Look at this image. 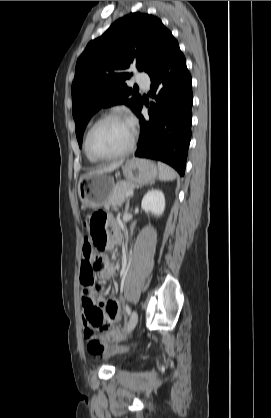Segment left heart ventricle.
Instances as JSON below:
<instances>
[{
	"mask_svg": "<svg viewBox=\"0 0 271 418\" xmlns=\"http://www.w3.org/2000/svg\"><path fill=\"white\" fill-rule=\"evenodd\" d=\"M131 134L132 127L127 120L109 119L94 129L90 137V146L96 154H114L127 146Z\"/></svg>",
	"mask_w": 271,
	"mask_h": 418,
	"instance_id": "1",
	"label": "left heart ventricle"
}]
</instances>
